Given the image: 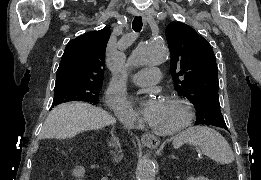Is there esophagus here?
Segmentation results:
<instances>
[{
    "mask_svg": "<svg viewBox=\"0 0 261 180\" xmlns=\"http://www.w3.org/2000/svg\"><path fill=\"white\" fill-rule=\"evenodd\" d=\"M135 15H141V17H143L144 19L146 17V14L144 12H136ZM141 141L149 148H157L160 144V140L154 135H151V133H144L141 137Z\"/></svg>",
    "mask_w": 261,
    "mask_h": 180,
    "instance_id": "34e87169",
    "label": "esophagus"
}]
</instances>
